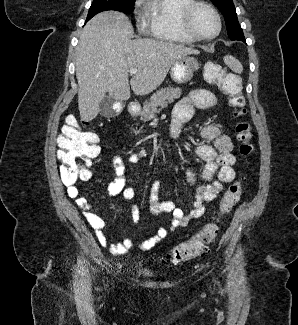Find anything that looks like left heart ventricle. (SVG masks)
Listing matches in <instances>:
<instances>
[{"mask_svg": "<svg viewBox=\"0 0 298 325\" xmlns=\"http://www.w3.org/2000/svg\"><path fill=\"white\" fill-rule=\"evenodd\" d=\"M192 29L201 39L210 38L216 30V24L211 14L204 8H197L190 19Z\"/></svg>", "mask_w": 298, "mask_h": 325, "instance_id": "left-heart-ventricle-1", "label": "left heart ventricle"}]
</instances>
